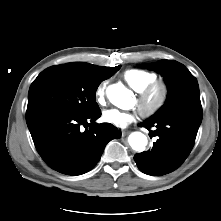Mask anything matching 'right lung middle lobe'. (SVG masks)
I'll use <instances>...</instances> for the list:
<instances>
[{
	"instance_id": "dd1d6c3e",
	"label": "right lung middle lobe",
	"mask_w": 221,
	"mask_h": 221,
	"mask_svg": "<svg viewBox=\"0 0 221 221\" xmlns=\"http://www.w3.org/2000/svg\"><path fill=\"white\" fill-rule=\"evenodd\" d=\"M120 67H114L109 75L102 78L88 76L66 65L49 67L31 84L27 109L51 107L80 114L99 110L95 92L99 84Z\"/></svg>"
}]
</instances>
